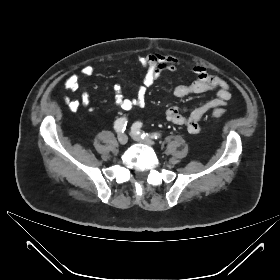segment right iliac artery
<instances>
[{
  "label": "right iliac artery",
  "mask_w": 280,
  "mask_h": 280,
  "mask_svg": "<svg viewBox=\"0 0 280 280\" xmlns=\"http://www.w3.org/2000/svg\"><path fill=\"white\" fill-rule=\"evenodd\" d=\"M127 126L126 118H119L114 123V129L116 132H124Z\"/></svg>",
  "instance_id": "82829eb1"
}]
</instances>
